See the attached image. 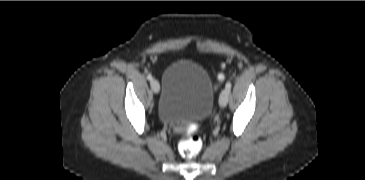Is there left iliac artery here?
<instances>
[{"label": "left iliac artery", "mask_w": 365, "mask_h": 180, "mask_svg": "<svg viewBox=\"0 0 365 180\" xmlns=\"http://www.w3.org/2000/svg\"><path fill=\"white\" fill-rule=\"evenodd\" d=\"M226 89L228 90V91H230V89H231V87H232V83L230 82V81H228L227 83H226Z\"/></svg>", "instance_id": "left-iliac-artery-1"}]
</instances>
